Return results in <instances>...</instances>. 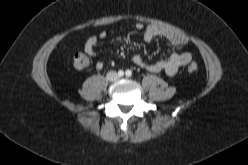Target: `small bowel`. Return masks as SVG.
Listing matches in <instances>:
<instances>
[{
    "label": "small bowel",
    "mask_w": 248,
    "mask_h": 165,
    "mask_svg": "<svg viewBox=\"0 0 248 165\" xmlns=\"http://www.w3.org/2000/svg\"><path fill=\"white\" fill-rule=\"evenodd\" d=\"M135 28L143 32L145 41L161 38L174 48V52L168 58L154 61H147L141 55L135 54L132 56V62L135 65L154 73L163 72L168 76H174L181 67L188 65L192 61V53L184 51L187 44V38L185 36L156 25L144 26L141 23H137ZM107 36L108 33L105 30L101 31L98 35L90 36L84 43L85 53L90 57H94L99 40H103ZM94 66L97 70H101L105 64L103 61H97Z\"/></svg>",
    "instance_id": "small-bowel-1"
}]
</instances>
